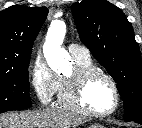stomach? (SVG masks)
<instances>
[{
  "label": "stomach",
  "instance_id": "0dacf381",
  "mask_svg": "<svg viewBox=\"0 0 142 128\" xmlns=\"http://www.w3.org/2000/svg\"><path fill=\"white\" fill-rule=\"evenodd\" d=\"M89 128H104V126L94 124V125H91Z\"/></svg>",
  "mask_w": 142,
  "mask_h": 128
}]
</instances>
